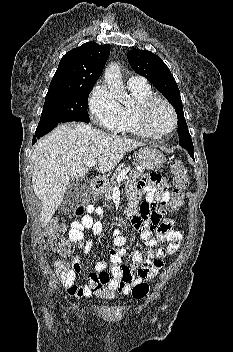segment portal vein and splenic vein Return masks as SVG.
I'll list each match as a JSON object with an SVG mask.
<instances>
[{
	"mask_svg": "<svg viewBox=\"0 0 233 352\" xmlns=\"http://www.w3.org/2000/svg\"><path fill=\"white\" fill-rule=\"evenodd\" d=\"M95 164H96L95 159H89L88 162H87V166H88V167H93V166H95ZM128 171H129L128 168L125 169V170H123V171L117 176L116 180H117L118 182H120V181H122L123 179H125V178H126V174L128 173Z\"/></svg>",
	"mask_w": 233,
	"mask_h": 352,
	"instance_id": "18ae733b",
	"label": "portal vein and splenic vein"
}]
</instances>
